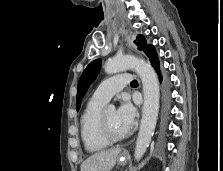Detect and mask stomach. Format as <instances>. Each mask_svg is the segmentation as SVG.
I'll return each mask as SVG.
<instances>
[{
  "mask_svg": "<svg viewBox=\"0 0 223 171\" xmlns=\"http://www.w3.org/2000/svg\"><path fill=\"white\" fill-rule=\"evenodd\" d=\"M123 157H125V154L121 155V158H120L119 162H121V163H125L126 162V158H123Z\"/></svg>",
  "mask_w": 223,
  "mask_h": 171,
  "instance_id": "0dacf381",
  "label": "stomach"
}]
</instances>
